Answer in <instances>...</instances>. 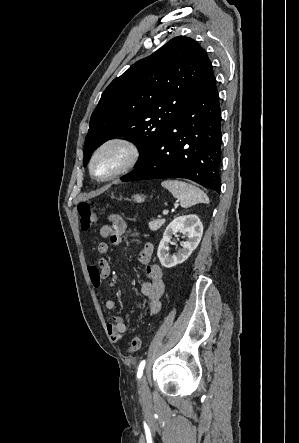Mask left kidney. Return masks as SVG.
Instances as JSON below:
<instances>
[{
	"label": "left kidney",
	"mask_w": 299,
	"mask_h": 443,
	"mask_svg": "<svg viewBox=\"0 0 299 443\" xmlns=\"http://www.w3.org/2000/svg\"><path fill=\"white\" fill-rule=\"evenodd\" d=\"M178 231L182 232L188 239L186 242L181 243L182 249L176 254L170 255L169 244L171 243L172 235ZM202 234L203 224L197 215L190 214L175 218L167 226L158 247L157 256L162 266L171 268L188 259L200 243Z\"/></svg>",
	"instance_id": "5707ae66"
}]
</instances>
